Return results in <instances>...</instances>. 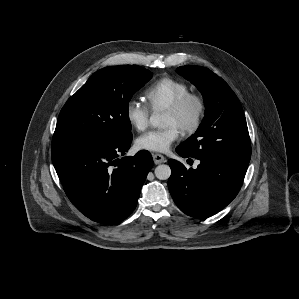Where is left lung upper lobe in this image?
<instances>
[{"mask_svg":"<svg viewBox=\"0 0 299 299\" xmlns=\"http://www.w3.org/2000/svg\"><path fill=\"white\" fill-rule=\"evenodd\" d=\"M177 72L202 93L205 117L190 138L178 146L196 159H228L249 163L251 142L242 106L227 83L201 66H181Z\"/></svg>","mask_w":299,"mask_h":299,"instance_id":"5c2ea615","label":"left lung upper lobe"}]
</instances>
